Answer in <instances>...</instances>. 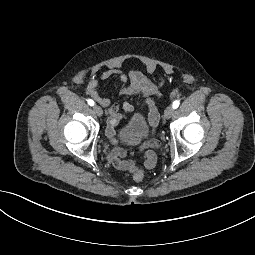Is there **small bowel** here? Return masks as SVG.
Returning <instances> with one entry per match:
<instances>
[{
	"label": "small bowel",
	"mask_w": 255,
	"mask_h": 255,
	"mask_svg": "<svg viewBox=\"0 0 255 255\" xmlns=\"http://www.w3.org/2000/svg\"><path fill=\"white\" fill-rule=\"evenodd\" d=\"M151 71L155 70L152 66ZM99 77L103 80L116 78L122 84L120 95L129 97H138L142 99L144 106L148 110V121L152 129H155L159 122V113L157 110V100L160 98V84L161 79L152 81L147 75L140 71H130L124 73L117 68L107 69L99 72ZM86 93L93 98L101 106L108 110V120L106 127V135L113 144H116L115 129L121 121L124 114L133 111V106L129 102H122L121 104L113 103L110 97L103 96L98 90V81L95 76L89 79L86 86ZM127 147H137L144 151L143 166L145 169H152L157 162V155L155 150L160 147L158 140L153 139L145 141L141 138H131L125 143ZM126 150L122 147H115L110 154V162L119 171L134 173L139 169L137 161L133 159H126Z\"/></svg>",
	"instance_id": "c3829d8e"
}]
</instances>
